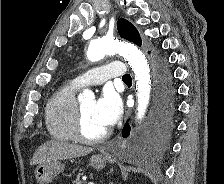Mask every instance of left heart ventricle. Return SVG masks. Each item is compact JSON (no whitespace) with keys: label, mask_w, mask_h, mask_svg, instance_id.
Listing matches in <instances>:
<instances>
[{"label":"left heart ventricle","mask_w":224,"mask_h":184,"mask_svg":"<svg viewBox=\"0 0 224 184\" xmlns=\"http://www.w3.org/2000/svg\"><path fill=\"white\" fill-rule=\"evenodd\" d=\"M83 111V130L88 137H97L104 133V127L94 114L95 101L93 99L84 100L80 103Z\"/></svg>","instance_id":"left-heart-ventricle-1"}]
</instances>
